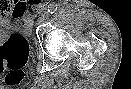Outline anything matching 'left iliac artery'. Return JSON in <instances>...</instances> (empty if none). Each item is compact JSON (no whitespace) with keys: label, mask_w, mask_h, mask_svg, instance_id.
<instances>
[{"label":"left iliac artery","mask_w":131,"mask_h":89,"mask_svg":"<svg viewBox=\"0 0 131 89\" xmlns=\"http://www.w3.org/2000/svg\"><path fill=\"white\" fill-rule=\"evenodd\" d=\"M57 9H58V6L54 3L48 6V12H50L51 14L55 13Z\"/></svg>","instance_id":"left-iliac-artery-1"}]
</instances>
